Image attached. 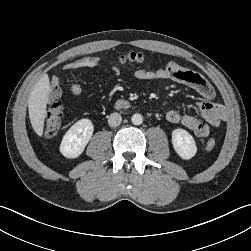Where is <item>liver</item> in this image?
<instances>
[{"label":"liver","instance_id":"obj_1","mask_svg":"<svg viewBox=\"0 0 251 251\" xmlns=\"http://www.w3.org/2000/svg\"><path fill=\"white\" fill-rule=\"evenodd\" d=\"M50 81L47 74H44L35 84L28 99L29 118L35 133L42 137L44 121L47 115L46 107L50 94Z\"/></svg>","mask_w":251,"mask_h":251}]
</instances>
